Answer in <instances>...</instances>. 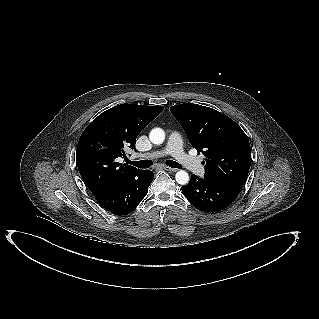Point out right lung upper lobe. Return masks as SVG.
<instances>
[{
  "label": "right lung upper lobe",
  "instance_id": "obj_1",
  "mask_svg": "<svg viewBox=\"0 0 319 319\" xmlns=\"http://www.w3.org/2000/svg\"><path fill=\"white\" fill-rule=\"evenodd\" d=\"M163 109V106L121 104L101 113L86 127L77 145L76 162L94 195L139 170L116 159L126 157L125 147L135 149L137 135Z\"/></svg>",
  "mask_w": 319,
  "mask_h": 319
}]
</instances>
